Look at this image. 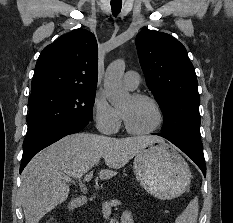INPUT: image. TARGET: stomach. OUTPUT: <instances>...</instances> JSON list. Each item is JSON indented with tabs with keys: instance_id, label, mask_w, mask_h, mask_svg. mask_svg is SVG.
Wrapping results in <instances>:
<instances>
[{
	"instance_id": "stomach-1",
	"label": "stomach",
	"mask_w": 233,
	"mask_h": 223,
	"mask_svg": "<svg viewBox=\"0 0 233 223\" xmlns=\"http://www.w3.org/2000/svg\"><path fill=\"white\" fill-rule=\"evenodd\" d=\"M133 171L140 185L157 199H174L191 183V171L180 153L165 141L151 143L134 157Z\"/></svg>"
}]
</instances>
